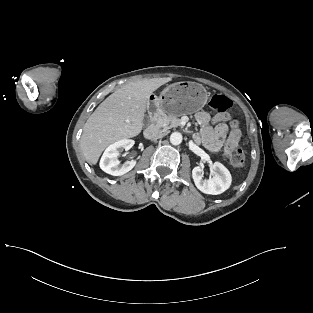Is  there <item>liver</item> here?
Instances as JSON below:
<instances>
[{
  "label": "liver",
  "instance_id": "6515ba94",
  "mask_svg": "<svg viewBox=\"0 0 313 313\" xmlns=\"http://www.w3.org/2000/svg\"><path fill=\"white\" fill-rule=\"evenodd\" d=\"M171 78L131 82L108 96L86 121L81 149L90 165L98 162L104 149L115 141L137 136L143 128L150 95Z\"/></svg>",
  "mask_w": 313,
  "mask_h": 313
}]
</instances>
